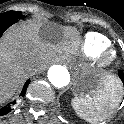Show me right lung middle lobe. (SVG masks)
I'll use <instances>...</instances> for the list:
<instances>
[{"instance_id":"right-lung-middle-lobe-1","label":"right lung middle lobe","mask_w":124,"mask_h":124,"mask_svg":"<svg viewBox=\"0 0 124 124\" xmlns=\"http://www.w3.org/2000/svg\"><path fill=\"white\" fill-rule=\"evenodd\" d=\"M25 16L22 15V13L20 11H7L4 12L2 14H0V19H15V20H19V19H23Z\"/></svg>"}]
</instances>
